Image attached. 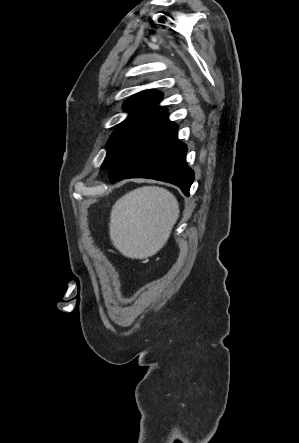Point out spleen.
I'll list each match as a JSON object with an SVG mask.
<instances>
[{"label": "spleen", "instance_id": "1", "mask_svg": "<svg viewBox=\"0 0 299 443\" xmlns=\"http://www.w3.org/2000/svg\"><path fill=\"white\" fill-rule=\"evenodd\" d=\"M179 216L176 198L163 188L143 187L120 198L112 207L110 238L129 257L144 258L167 241Z\"/></svg>", "mask_w": 299, "mask_h": 443}]
</instances>
